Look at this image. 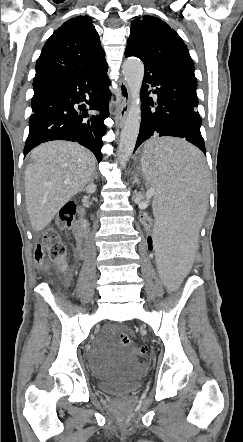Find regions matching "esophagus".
I'll use <instances>...</instances> for the list:
<instances>
[{"mask_svg": "<svg viewBox=\"0 0 243 442\" xmlns=\"http://www.w3.org/2000/svg\"><path fill=\"white\" fill-rule=\"evenodd\" d=\"M130 102V92L124 81L120 82V90L117 98L116 115L117 120L122 124L126 118Z\"/></svg>", "mask_w": 243, "mask_h": 442, "instance_id": "esophagus-1", "label": "esophagus"}]
</instances>
